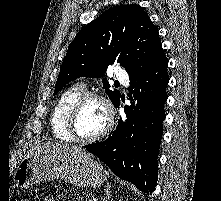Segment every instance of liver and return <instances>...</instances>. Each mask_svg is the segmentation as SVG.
I'll use <instances>...</instances> for the list:
<instances>
[{"label": "liver", "instance_id": "6515ba94", "mask_svg": "<svg viewBox=\"0 0 221 201\" xmlns=\"http://www.w3.org/2000/svg\"><path fill=\"white\" fill-rule=\"evenodd\" d=\"M35 152H44L49 154H72L85 152L77 146H67L60 143H40L31 148L30 154Z\"/></svg>", "mask_w": 221, "mask_h": 201}]
</instances>
